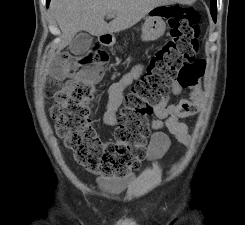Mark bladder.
I'll return each instance as SVG.
<instances>
[{
	"label": "bladder",
	"mask_w": 245,
	"mask_h": 225,
	"mask_svg": "<svg viewBox=\"0 0 245 225\" xmlns=\"http://www.w3.org/2000/svg\"><path fill=\"white\" fill-rule=\"evenodd\" d=\"M109 186H110V188H113V189H116L119 191L124 190L123 186L121 184H118L117 182H109Z\"/></svg>",
	"instance_id": "bladder-1"
}]
</instances>
